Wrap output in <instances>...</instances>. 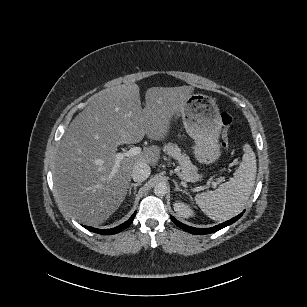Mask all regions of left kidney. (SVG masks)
<instances>
[{
  "label": "left kidney",
  "mask_w": 307,
  "mask_h": 307,
  "mask_svg": "<svg viewBox=\"0 0 307 307\" xmlns=\"http://www.w3.org/2000/svg\"><path fill=\"white\" fill-rule=\"evenodd\" d=\"M174 211L183 218L193 217L195 214L193 210L189 207V205L182 202H175L173 204Z\"/></svg>",
  "instance_id": "obj_1"
}]
</instances>
